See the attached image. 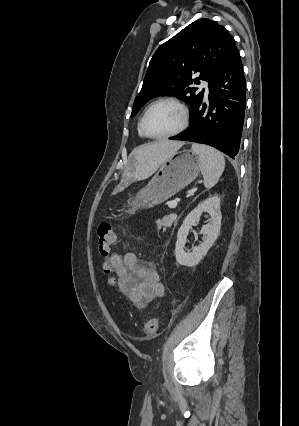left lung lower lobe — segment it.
Returning a JSON list of instances; mask_svg holds the SVG:
<instances>
[{
  "mask_svg": "<svg viewBox=\"0 0 299 426\" xmlns=\"http://www.w3.org/2000/svg\"><path fill=\"white\" fill-rule=\"evenodd\" d=\"M208 86L209 106L202 101L190 128L169 139L207 144L233 158L239 153L246 107V80L238 49Z\"/></svg>",
  "mask_w": 299,
  "mask_h": 426,
  "instance_id": "0a47b994",
  "label": "left lung lower lobe"
}]
</instances>
